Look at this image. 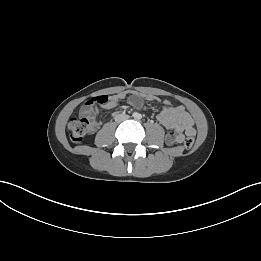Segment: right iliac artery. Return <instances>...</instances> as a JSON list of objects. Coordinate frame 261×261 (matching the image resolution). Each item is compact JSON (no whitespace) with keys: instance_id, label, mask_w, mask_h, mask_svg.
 I'll use <instances>...</instances> for the list:
<instances>
[{"instance_id":"1","label":"right iliac artery","mask_w":261,"mask_h":261,"mask_svg":"<svg viewBox=\"0 0 261 261\" xmlns=\"http://www.w3.org/2000/svg\"><path fill=\"white\" fill-rule=\"evenodd\" d=\"M133 116L135 117V116H136V114L134 113V114H133Z\"/></svg>"}]
</instances>
